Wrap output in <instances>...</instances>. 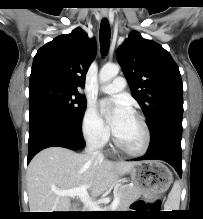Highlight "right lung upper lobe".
<instances>
[{
  "instance_id": "1",
  "label": "right lung upper lobe",
  "mask_w": 203,
  "mask_h": 219,
  "mask_svg": "<svg viewBox=\"0 0 203 219\" xmlns=\"http://www.w3.org/2000/svg\"><path fill=\"white\" fill-rule=\"evenodd\" d=\"M96 42L81 28L61 35L37 51L30 84L52 82L78 90L85 84V74L96 55Z\"/></svg>"
}]
</instances>
